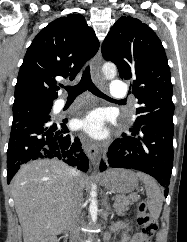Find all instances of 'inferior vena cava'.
Returning <instances> with one entry per match:
<instances>
[{
  "mask_svg": "<svg viewBox=\"0 0 187 242\" xmlns=\"http://www.w3.org/2000/svg\"><path fill=\"white\" fill-rule=\"evenodd\" d=\"M79 172L72 169L70 172L71 178V215L69 220L70 227V242H82L81 235L78 229V224L83 205V189L77 182Z\"/></svg>",
  "mask_w": 187,
  "mask_h": 242,
  "instance_id": "obj_1",
  "label": "inferior vena cava"
}]
</instances>
